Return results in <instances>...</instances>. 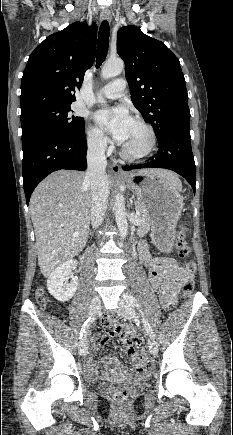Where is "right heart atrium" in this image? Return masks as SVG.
<instances>
[{
    "label": "right heart atrium",
    "mask_w": 233,
    "mask_h": 435,
    "mask_svg": "<svg viewBox=\"0 0 233 435\" xmlns=\"http://www.w3.org/2000/svg\"><path fill=\"white\" fill-rule=\"evenodd\" d=\"M108 138L98 128L90 126L87 130V146L95 154H103L108 149Z\"/></svg>",
    "instance_id": "obj_1"
}]
</instances>
